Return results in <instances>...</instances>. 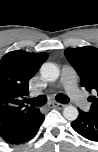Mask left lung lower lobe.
<instances>
[{
    "label": "left lung lower lobe",
    "mask_w": 98,
    "mask_h": 152,
    "mask_svg": "<svg viewBox=\"0 0 98 152\" xmlns=\"http://www.w3.org/2000/svg\"><path fill=\"white\" fill-rule=\"evenodd\" d=\"M71 126L83 137L92 141L98 140V116L79 110V116Z\"/></svg>",
    "instance_id": "obj_1"
}]
</instances>
